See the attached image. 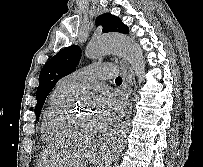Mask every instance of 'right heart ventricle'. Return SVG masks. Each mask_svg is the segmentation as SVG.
<instances>
[{"label": "right heart ventricle", "mask_w": 203, "mask_h": 167, "mask_svg": "<svg viewBox=\"0 0 203 167\" xmlns=\"http://www.w3.org/2000/svg\"><path fill=\"white\" fill-rule=\"evenodd\" d=\"M76 89L62 81L48 96L41 118V137L49 145H63L72 142L58 128L57 122L62 113L68 108Z\"/></svg>", "instance_id": "obj_1"}]
</instances>
